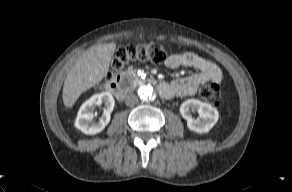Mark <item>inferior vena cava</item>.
<instances>
[{
  "label": "inferior vena cava",
  "mask_w": 292,
  "mask_h": 192,
  "mask_svg": "<svg viewBox=\"0 0 292 192\" xmlns=\"http://www.w3.org/2000/svg\"><path fill=\"white\" fill-rule=\"evenodd\" d=\"M138 102V97L134 94H128L126 97H125V103L127 106H134L135 104H137Z\"/></svg>",
  "instance_id": "inferior-vena-cava-1"
}]
</instances>
